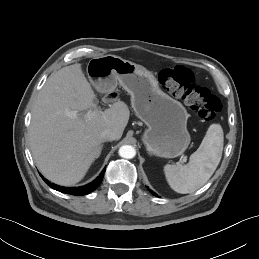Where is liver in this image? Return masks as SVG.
Instances as JSON below:
<instances>
[{"instance_id": "6515ba94", "label": "liver", "mask_w": 259, "mask_h": 259, "mask_svg": "<svg viewBox=\"0 0 259 259\" xmlns=\"http://www.w3.org/2000/svg\"><path fill=\"white\" fill-rule=\"evenodd\" d=\"M94 98L79 63L52 73L37 96L30 147L38 169L53 183L69 186L81 181L101 153L102 131L114 130L120 139L127 126L130 112L121 101L86 118L83 112L96 108Z\"/></svg>"}]
</instances>
